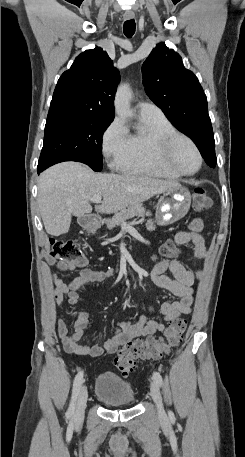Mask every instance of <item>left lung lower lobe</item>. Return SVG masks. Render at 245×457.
Wrapping results in <instances>:
<instances>
[{"instance_id": "left-lung-lower-lobe-1", "label": "left lung lower lobe", "mask_w": 245, "mask_h": 457, "mask_svg": "<svg viewBox=\"0 0 245 457\" xmlns=\"http://www.w3.org/2000/svg\"><path fill=\"white\" fill-rule=\"evenodd\" d=\"M196 145L201 152L202 157L205 162L211 166L215 167L216 165V156H215V142L213 133L206 135L200 141L196 142Z\"/></svg>"}]
</instances>
